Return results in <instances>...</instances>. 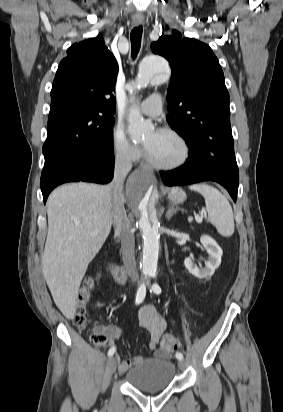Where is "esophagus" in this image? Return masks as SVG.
<instances>
[{"mask_svg": "<svg viewBox=\"0 0 283 412\" xmlns=\"http://www.w3.org/2000/svg\"><path fill=\"white\" fill-rule=\"evenodd\" d=\"M133 23H134V25L138 26L142 23V21L141 20H134Z\"/></svg>", "mask_w": 283, "mask_h": 412, "instance_id": "34e87169", "label": "esophagus"}]
</instances>
